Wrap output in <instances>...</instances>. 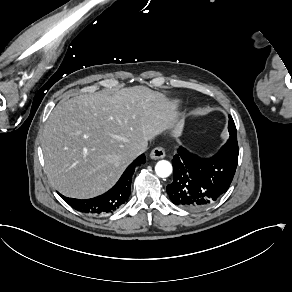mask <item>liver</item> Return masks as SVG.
Wrapping results in <instances>:
<instances>
[{"label":"liver","instance_id":"liver-1","mask_svg":"<svg viewBox=\"0 0 292 292\" xmlns=\"http://www.w3.org/2000/svg\"><path fill=\"white\" fill-rule=\"evenodd\" d=\"M163 93L145 86L61 100L42 131L50 183L66 197L88 199L108 191L136 158L135 148L183 120Z\"/></svg>","mask_w":292,"mask_h":292}]
</instances>
